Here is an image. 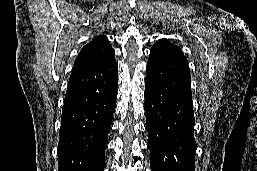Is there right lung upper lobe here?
Returning a JSON list of instances; mask_svg holds the SVG:
<instances>
[{
  "mask_svg": "<svg viewBox=\"0 0 257 171\" xmlns=\"http://www.w3.org/2000/svg\"><path fill=\"white\" fill-rule=\"evenodd\" d=\"M115 58V52L104 35L95 37L86 44L74 61L73 68L96 66Z\"/></svg>",
  "mask_w": 257,
  "mask_h": 171,
  "instance_id": "cb5924a9",
  "label": "right lung upper lobe"
}]
</instances>
